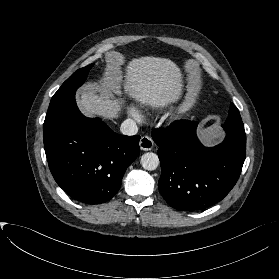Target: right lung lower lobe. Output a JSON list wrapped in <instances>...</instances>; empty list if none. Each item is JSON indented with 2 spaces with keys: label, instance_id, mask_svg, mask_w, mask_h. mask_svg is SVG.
I'll use <instances>...</instances> for the list:
<instances>
[{
  "label": "right lung lower lobe",
  "instance_id": "1",
  "mask_svg": "<svg viewBox=\"0 0 279 279\" xmlns=\"http://www.w3.org/2000/svg\"><path fill=\"white\" fill-rule=\"evenodd\" d=\"M44 147L57 184L74 200L101 204L120 188L126 168L139 155L140 136H123L100 118L85 117L75 100L45 120Z\"/></svg>",
  "mask_w": 279,
  "mask_h": 279
}]
</instances>
